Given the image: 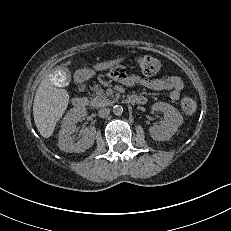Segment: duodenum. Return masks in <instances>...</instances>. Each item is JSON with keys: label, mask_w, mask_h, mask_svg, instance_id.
<instances>
[{"label": "duodenum", "mask_w": 231, "mask_h": 231, "mask_svg": "<svg viewBox=\"0 0 231 231\" xmlns=\"http://www.w3.org/2000/svg\"><path fill=\"white\" fill-rule=\"evenodd\" d=\"M81 91L84 90V84L80 85ZM127 102L134 103V104H144L146 99L142 96H131L127 99ZM72 103L76 108H85L88 104L87 99L84 96H76L73 98Z\"/></svg>", "instance_id": "duodenum-1"}]
</instances>
